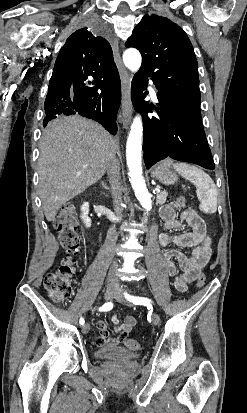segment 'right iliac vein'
<instances>
[{"label": "right iliac vein", "mask_w": 247, "mask_h": 413, "mask_svg": "<svg viewBox=\"0 0 247 413\" xmlns=\"http://www.w3.org/2000/svg\"><path fill=\"white\" fill-rule=\"evenodd\" d=\"M116 289H117V288H116L115 285H113V284H106V290H105V293H104V299L107 300V301L111 300L112 297H113V295L116 293ZM89 330H90V325H89V323L84 324L83 327H82V333H83V334H86V333L89 332Z\"/></svg>", "instance_id": "obj_1"}]
</instances>
